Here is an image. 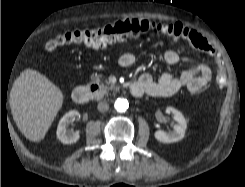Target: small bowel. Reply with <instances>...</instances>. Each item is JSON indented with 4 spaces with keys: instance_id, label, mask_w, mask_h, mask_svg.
Masks as SVG:
<instances>
[{
    "instance_id": "obj_1",
    "label": "small bowel",
    "mask_w": 245,
    "mask_h": 187,
    "mask_svg": "<svg viewBox=\"0 0 245 187\" xmlns=\"http://www.w3.org/2000/svg\"><path fill=\"white\" fill-rule=\"evenodd\" d=\"M164 61L168 65H176L179 62L192 64L180 75L174 76L170 72H164L158 80H154L151 75L143 74L137 83L142 85L144 93L148 96L165 97L177 93L181 89L195 93L207 86L211 81L212 73L205 64H195L193 59L181 56L175 50L164 52ZM135 63V56L132 53H124L119 58L121 67L129 68Z\"/></svg>"
}]
</instances>
